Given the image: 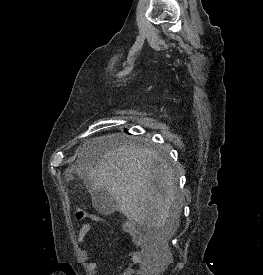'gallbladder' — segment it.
Returning <instances> with one entry per match:
<instances>
[{
    "label": "gallbladder",
    "mask_w": 263,
    "mask_h": 275,
    "mask_svg": "<svg viewBox=\"0 0 263 275\" xmlns=\"http://www.w3.org/2000/svg\"><path fill=\"white\" fill-rule=\"evenodd\" d=\"M92 204L98 212L104 215H110L119 208L114 197L105 188L92 192Z\"/></svg>",
    "instance_id": "1"
}]
</instances>
